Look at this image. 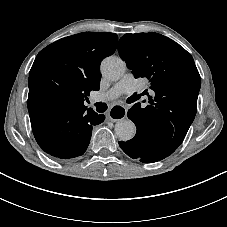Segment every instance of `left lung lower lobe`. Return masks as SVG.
Segmentation results:
<instances>
[{
    "mask_svg": "<svg viewBox=\"0 0 227 227\" xmlns=\"http://www.w3.org/2000/svg\"><path fill=\"white\" fill-rule=\"evenodd\" d=\"M139 110L130 109L128 117L135 123L137 133L129 141H119L121 149L131 158L138 159L144 163H153L162 160L172 154L177 147L158 139L149 129L138 124Z\"/></svg>",
    "mask_w": 227,
    "mask_h": 227,
    "instance_id": "1",
    "label": "left lung lower lobe"
}]
</instances>
